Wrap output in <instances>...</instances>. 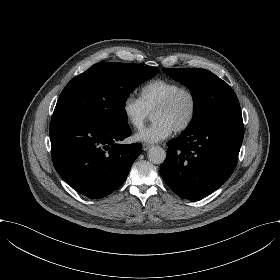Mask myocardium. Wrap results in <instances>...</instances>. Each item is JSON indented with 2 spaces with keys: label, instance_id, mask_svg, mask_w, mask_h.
I'll return each instance as SVG.
<instances>
[{
  "label": "myocardium",
  "instance_id": "obj_1",
  "mask_svg": "<svg viewBox=\"0 0 280 280\" xmlns=\"http://www.w3.org/2000/svg\"><path fill=\"white\" fill-rule=\"evenodd\" d=\"M183 93H188L191 96L192 111L188 119L184 123L180 124L175 128L176 132H183L188 130L195 122L199 110V98L197 92L189 86H181L176 91H174L171 95H169L165 100L159 103L154 109V112H156V111L170 108L178 99V97Z\"/></svg>",
  "mask_w": 280,
  "mask_h": 280
}]
</instances>
